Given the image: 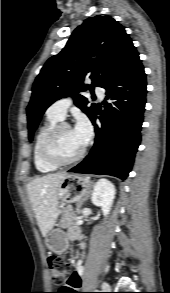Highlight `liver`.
Here are the masks:
<instances>
[{"mask_svg": "<svg viewBox=\"0 0 170 293\" xmlns=\"http://www.w3.org/2000/svg\"><path fill=\"white\" fill-rule=\"evenodd\" d=\"M66 172L44 175L28 183L27 193L43 237L58 217V192Z\"/></svg>", "mask_w": 170, "mask_h": 293, "instance_id": "liver-1", "label": "liver"}]
</instances>
